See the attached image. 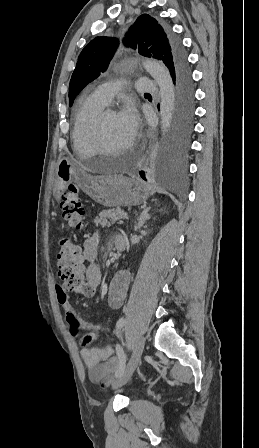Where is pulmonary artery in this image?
<instances>
[{
    "label": "pulmonary artery",
    "mask_w": 259,
    "mask_h": 448,
    "mask_svg": "<svg viewBox=\"0 0 259 448\" xmlns=\"http://www.w3.org/2000/svg\"><path fill=\"white\" fill-rule=\"evenodd\" d=\"M117 92V88L115 87V81H110L101 85H98L95 88L96 96L105 104H108L113 99L114 95Z\"/></svg>",
    "instance_id": "1"
}]
</instances>
